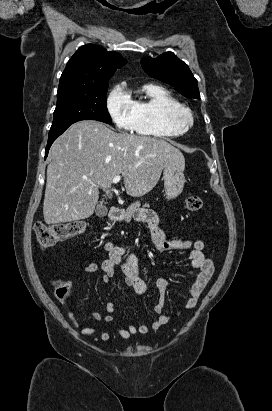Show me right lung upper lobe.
I'll return each instance as SVG.
<instances>
[{
  "label": "right lung upper lobe",
  "instance_id": "cb5924a9",
  "mask_svg": "<svg viewBox=\"0 0 272 411\" xmlns=\"http://www.w3.org/2000/svg\"><path fill=\"white\" fill-rule=\"evenodd\" d=\"M127 61L116 52H108L94 44L80 47L63 71L58 92L81 90L106 84L114 71Z\"/></svg>",
  "mask_w": 272,
  "mask_h": 411
}]
</instances>
